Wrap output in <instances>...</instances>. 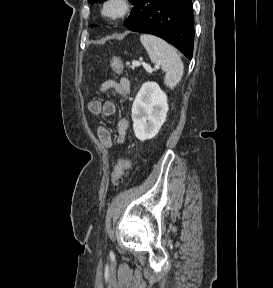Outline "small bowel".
I'll use <instances>...</instances> for the list:
<instances>
[{
  "label": "small bowel",
  "instance_id": "1",
  "mask_svg": "<svg viewBox=\"0 0 273 288\" xmlns=\"http://www.w3.org/2000/svg\"><path fill=\"white\" fill-rule=\"evenodd\" d=\"M100 90L103 94H108L111 90L114 91L119 97L126 99L130 93L129 81L125 78L119 81L107 80L100 86ZM88 110L94 116H111L116 111L115 103L110 100H92L88 103ZM128 133V120L121 118L117 125L116 143L122 145L127 139ZM97 136L102 145L107 148L112 147L113 138L110 130L105 126H100L97 130Z\"/></svg>",
  "mask_w": 273,
  "mask_h": 288
}]
</instances>
